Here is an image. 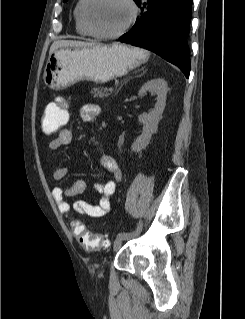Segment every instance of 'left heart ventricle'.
Segmentation results:
<instances>
[{
    "instance_id": "1",
    "label": "left heart ventricle",
    "mask_w": 245,
    "mask_h": 319,
    "mask_svg": "<svg viewBox=\"0 0 245 319\" xmlns=\"http://www.w3.org/2000/svg\"><path fill=\"white\" fill-rule=\"evenodd\" d=\"M88 18L99 32L112 33L121 29L130 18V8L125 0H93Z\"/></svg>"
}]
</instances>
